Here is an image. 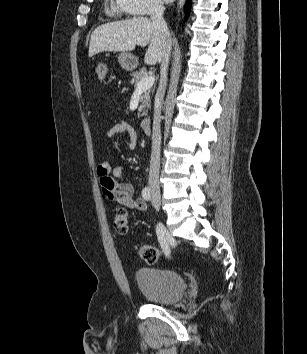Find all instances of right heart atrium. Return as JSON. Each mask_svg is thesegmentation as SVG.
Wrapping results in <instances>:
<instances>
[{"instance_id": "1", "label": "right heart atrium", "mask_w": 307, "mask_h": 354, "mask_svg": "<svg viewBox=\"0 0 307 354\" xmlns=\"http://www.w3.org/2000/svg\"><path fill=\"white\" fill-rule=\"evenodd\" d=\"M125 10L133 15H148L162 9L161 0H119Z\"/></svg>"}]
</instances>
